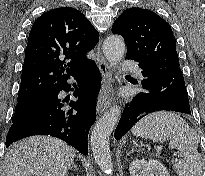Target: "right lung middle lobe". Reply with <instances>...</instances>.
I'll list each match as a JSON object with an SVG mask.
<instances>
[{
  "label": "right lung middle lobe",
  "mask_w": 205,
  "mask_h": 176,
  "mask_svg": "<svg viewBox=\"0 0 205 176\" xmlns=\"http://www.w3.org/2000/svg\"><path fill=\"white\" fill-rule=\"evenodd\" d=\"M48 92L49 91L18 99L12 122H15L17 119H19L33 104L46 96Z\"/></svg>",
  "instance_id": "right-lung-middle-lobe-1"
}]
</instances>
